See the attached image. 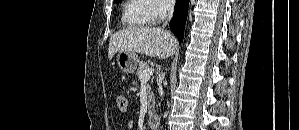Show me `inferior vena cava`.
<instances>
[{
  "mask_svg": "<svg viewBox=\"0 0 299 130\" xmlns=\"http://www.w3.org/2000/svg\"><path fill=\"white\" fill-rule=\"evenodd\" d=\"M166 8H167V12H168V17H167V20L165 21V23L163 24V26H166L167 23L172 19L173 10H174V3L172 1H170ZM158 91H159L160 96H163L162 86H159Z\"/></svg>",
  "mask_w": 299,
  "mask_h": 130,
  "instance_id": "obj_1",
  "label": "inferior vena cava"
}]
</instances>
